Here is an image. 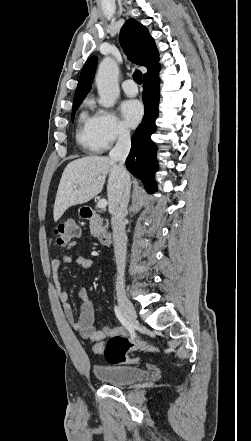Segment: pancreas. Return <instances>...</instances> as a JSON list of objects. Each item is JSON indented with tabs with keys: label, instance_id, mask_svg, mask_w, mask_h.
Wrapping results in <instances>:
<instances>
[{
	"label": "pancreas",
	"instance_id": "1",
	"mask_svg": "<svg viewBox=\"0 0 251 441\" xmlns=\"http://www.w3.org/2000/svg\"><path fill=\"white\" fill-rule=\"evenodd\" d=\"M104 230L102 227V220H91L90 221V232L94 237H99L101 232Z\"/></svg>",
	"mask_w": 251,
	"mask_h": 441
}]
</instances>
